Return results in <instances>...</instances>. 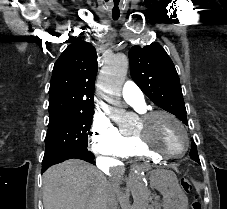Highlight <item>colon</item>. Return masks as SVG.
Returning a JSON list of instances; mask_svg holds the SVG:
<instances>
[{
	"label": "colon",
	"mask_w": 227,
	"mask_h": 209,
	"mask_svg": "<svg viewBox=\"0 0 227 209\" xmlns=\"http://www.w3.org/2000/svg\"><path fill=\"white\" fill-rule=\"evenodd\" d=\"M180 185L185 192H188L193 188L192 181L188 178H182L180 181ZM190 209H202V205L197 194L195 195L190 205Z\"/></svg>",
	"instance_id": "colon-1"
}]
</instances>
